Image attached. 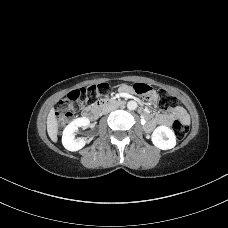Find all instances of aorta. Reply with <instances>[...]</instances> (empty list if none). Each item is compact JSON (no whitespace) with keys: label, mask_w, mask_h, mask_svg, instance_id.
Wrapping results in <instances>:
<instances>
[{"label":"aorta","mask_w":228,"mask_h":228,"mask_svg":"<svg viewBox=\"0 0 228 228\" xmlns=\"http://www.w3.org/2000/svg\"><path fill=\"white\" fill-rule=\"evenodd\" d=\"M127 108L129 110H135L137 108V102H135V101H129L127 103Z\"/></svg>","instance_id":"obj_1"}]
</instances>
